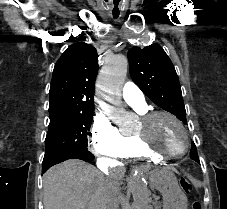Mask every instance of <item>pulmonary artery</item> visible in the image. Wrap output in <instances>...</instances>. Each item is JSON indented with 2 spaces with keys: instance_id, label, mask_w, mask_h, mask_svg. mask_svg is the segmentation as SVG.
Masks as SVG:
<instances>
[{
  "instance_id": "obj_1",
  "label": "pulmonary artery",
  "mask_w": 227,
  "mask_h": 209,
  "mask_svg": "<svg viewBox=\"0 0 227 209\" xmlns=\"http://www.w3.org/2000/svg\"><path fill=\"white\" fill-rule=\"evenodd\" d=\"M140 93L141 88H138L134 82L128 81L124 85L122 96L123 99L129 104H132L138 109H144L146 106V102L143 95H140Z\"/></svg>"
}]
</instances>
